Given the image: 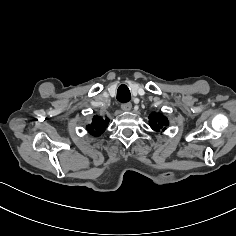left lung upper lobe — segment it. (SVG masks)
<instances>
[{"label":"left lung upper lobe","mask_w":236,"mask_h":236,"mask_svg":"<svg viewBox=\"0 0 236 236\" xmlns=\"http://www.w3.org/2000/svg\"><path fill=\"white\" fill-rule=\"evenodd\" d=\"M149 124L153 130L160 131L162 128L165 130V127L168 126L169 122L161 113L153 112L149 116Z\"/></svg>","instance_id":"obj_1"}]
</instances>
